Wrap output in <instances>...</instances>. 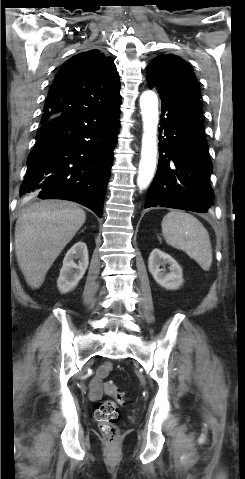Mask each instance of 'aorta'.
Listing matches in <instances>:
<instances>
[{
  "instance_id": "1",
  "label": "aorta",
  "mask_w": 245,
  "mask_h": 479,
  "mask_svg": "<svg viewBox=\"0 0 245 479\" xmlns=\"http://www.w3.org/2000/svg\"><path fill=\"white\" fill-rule=\"evenodd\" d=\"M140 108L143 120V136L137 185L140 189H144L149 185L156 167L158 125V98L156 94L152 91H145L140 97Z\"/></svg>"
}]
</instances>
